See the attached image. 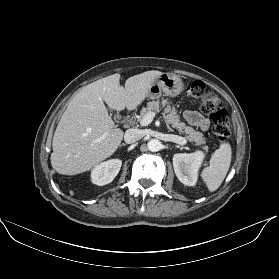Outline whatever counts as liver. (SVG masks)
Returning a JSON list of instances; mask_svg holds the SVG:
<instances>
[{
  "instance_id": "1",
  "label": "liver",
  "mask_w": 279,
  "mask_h": 279,
  "mask_svg": "<svg viewBox=\"0 0 279 279\" xmlns=\"http://www.w3.org/2000/svg\"><path fill=\"white\" fill-rule=\"evenodd\" d=\"M163 72L147 71L120 86V74L85 86L69 103L54 133L52 167L62 175H76L110 157L124 132L115 127L104 102L117 111L136 109L150 93L154 80Z\"/></svg>"
}]
</instances>
